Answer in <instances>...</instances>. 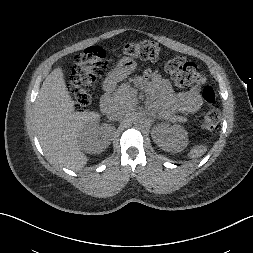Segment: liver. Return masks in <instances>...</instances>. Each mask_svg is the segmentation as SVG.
<instances>
[{
  "mask_svg": "<svg viewBox=\"0 0 253 253\" xmlns=\"http://www.w3.org/2000/svg\"><path fill=\"white\" fill-rule=\"evenodd\" d=\"M136 94V89H126L122 103H128L127 110ZM99 119L95 111H75L61 67L46 77L35 102L33 123L43 152L51 163L72 170L83 168L88 158L81 151L78 137L84 127Z\"/></svg>",
  "mask_w": 253,
  "mask_h": 253,
  "instance_id": "liver-1",
  "label": "liver"
}]
</instances>
